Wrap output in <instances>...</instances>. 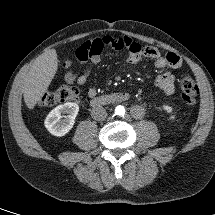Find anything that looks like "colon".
Listing matches in <instances>:
<instances>
[{
	"label": "colon",
	"instance_id": "obj_1",
	"mask_svg": "<svg viewBox=\"0 0 215 215\" xmlns=\"http://www.w3.org/2000/svg\"><path fill=\"white\" fill-rule=\"evenodd\" d=\"M71 63L66 61L65 68H69ZM181 99L184 104L192 105L195 103L199 94V88L195 80L191 76H186L181 82ZM79 97V91L70 86H62L53 91L46 92L40 99V105L45 107H52L62 103L74 102Z\"/></svg>",
	"mask_w": 215,
	"mask_h": 215
}]
</instances>
